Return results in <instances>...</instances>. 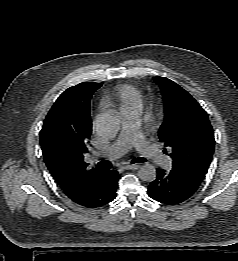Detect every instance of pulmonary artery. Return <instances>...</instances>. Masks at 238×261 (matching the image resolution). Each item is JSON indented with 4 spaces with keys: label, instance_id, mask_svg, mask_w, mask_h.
Masks as SVG:
<instances>
[{
    "label": "pulmonary artery",
    "instance_id": "obj_1",
    "mask_svg": "<svg viewBox=\"0 0 238 261\" xmlns=\"http://www.w3.org/2000/svg\"><path fill=\"white\" fill-rule=\"evenodd\" d=\"M140 121L138 113L123 115V125L118 138L104 151L101 156L116 159L135 147L144 157L165 168L171 167L172 160L160 153L149 144L139 131Z\"/></svg>",
    "mask_w": 238,
    "mask_h": 261
}]
</instances>
